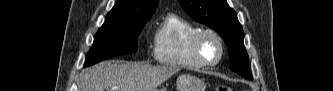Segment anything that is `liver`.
I'll return each mask as SVG.
<instances>
[{
  "label": "liver",
  "mask_w": 333,
  "mask_h": 91,
  "mask_svg": "<svg viewBox=\"0 0 333 91\" xmlns=\"http://www.w3.org/2000/svg\"><path fill=\"white\" fill-rule=\"evenodd\" d=\"M177 71L175 66L104 61L83 71L81 91H155Z\"/></svg>",
  "instance_id": "1"
}]
</instances>
